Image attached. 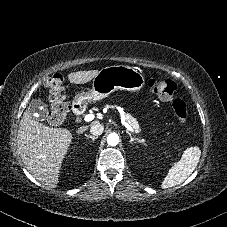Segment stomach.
Here are the masks:
<instances>
[{"label":"stomach","mask_w":227,"mask_h":227,"mask_svg":"<svg viewBox=\"0 0 227 227\" xmlns=\"http://www.w3.org/2000/svg\"><path fill=\"white\" fill-rule=\"evenodd\" d=\"M145 85L144 75L131 66L117 65L102 68L94 77L92 89L81 92L74 98V103L86 105L91 101L101 100L115 90L139 91Z\"/></svg>","instance_id":"1"}]
</instances>
